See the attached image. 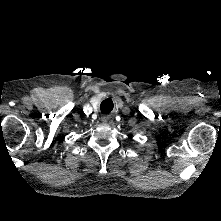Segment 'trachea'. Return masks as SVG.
I'll return each mask as SVG.
<instances>
[{
  "label": "trachea",
  "mask_w": 221,
  "mask_h": 221,
  "mask_svg": "<svg viewBox=\"0 0 221 221\" xmlns=\"http://www.w3.org/2000/svg\"><path fill=\"white\" fill-rule=\"evenodd\" d=\"M105 101H109V103L103 105V107L101 106V111L104 114H107L113 109V102L111 101V99H106Z\"/></svg>",
  "instance_id": "1"
}]
</instances>
